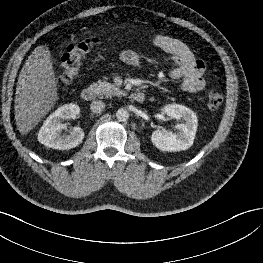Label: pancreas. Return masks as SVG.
<instances>
[{"label":"pancreas","instance_id":"obj_1","mask_svg":"<svg viewBox=\"0 0 263 263\" xmlns=\"http://www.w3.org/2000/svg\"><path fill=\"white\" fill-rule=\"evenodd\" d=\"M91 88L95 90L98 96L113 97L122 94L119 88L106 81H98L97 83H93Z\"/></svg>","mask_w":263,"mask_h":263}]
</instances>
